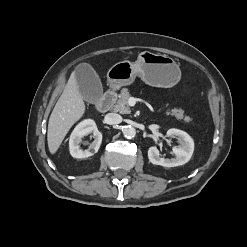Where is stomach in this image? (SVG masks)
Wrapping results in <instances>:
<instances>
[{
	"instance_id": "stomach-1",
	"label": "stomach",
	"mask_w": 247,
	"mask_h": 247,
	"mask_svg": "<svg viewBox=\"0 0 247 247\" xmlns=\"http://www.w3.org/2000/svg\"><path fill=\"white\" fill-rule=\"evenodd\" d=\"M137 76L150 86L168 88L178 83L181 71L173 58L144 51L136 62H118L107 72L113 89L132 84Z\"/></svg>"
}]
</instances>
